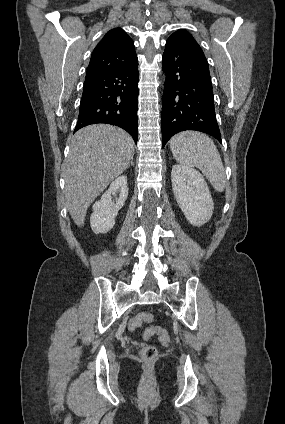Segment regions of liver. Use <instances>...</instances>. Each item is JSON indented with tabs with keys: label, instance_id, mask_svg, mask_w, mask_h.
I'll return each mask as SVG.
<instances>
[{
	"label": "liver",
	"instance_id": "liver-1",
	"mask_svg": "<svg viewBox=\"0 0 285 424\" xmlns=\"http://www.w3.org/2000/svg\"><path fill=\"white\" fill-rule=\"evenodd\" d=\"M134 141L119 127L86 126L71 139L64 178L67 209L77 226H83L88 207L130 165Z\"/></svg>",
	"mask_w": 285,
	"mask_h": 424
}]
</instances>
